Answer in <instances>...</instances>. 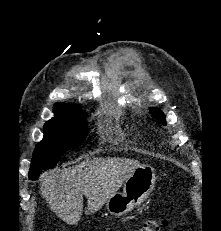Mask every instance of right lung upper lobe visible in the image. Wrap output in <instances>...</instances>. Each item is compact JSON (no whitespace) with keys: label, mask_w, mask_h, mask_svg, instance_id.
I'll return each mask as SVG.
<instances>
[{"label":"right lung upper lobe","mask_w":221,"mask_h":231,"mask_svg":"<svg viewBox=\"0 0 221 231\" xmlns=\"http://www.w3.org/2000/svg\"><path fill=\"white\" fill-rule=\"evenodd\" d=\"M56 116H79L84 112L74 104L59 103L54 107Z\"/></svg>","instance_id":"1"}]
</instances>
